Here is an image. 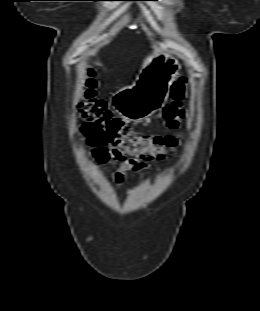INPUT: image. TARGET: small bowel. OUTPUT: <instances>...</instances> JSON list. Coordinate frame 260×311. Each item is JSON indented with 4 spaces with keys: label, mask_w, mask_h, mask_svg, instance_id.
<instances>
[{
    "label": "small bowel",
    "mask_w": 260,
    "mask_h": 311,
    "mask_svg": "<svg viewBox=\"0 0 260 311\" xmlns=\"http://www.w3.org/2000/svg\"><path fill=\"white\" fill-rule=\"evenodd\" d=\"M116 158H113V162L117 163ZM150 168L147 162H142L136 158H126L123 159L118 167L114 171V179L118 185H123L125 181V176L128 171L140 172L148 171Z\"/></svg>",
    "instance_id": "1"
}]
</instances>
